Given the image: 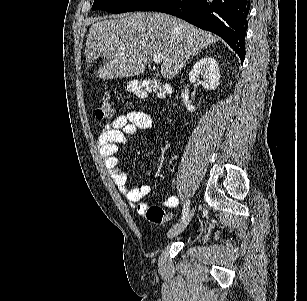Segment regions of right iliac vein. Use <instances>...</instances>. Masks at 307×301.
Wrapping results in <instances>:
<instances>
[{
    "label": "right iliac vein",
    "mask_w": 307,
    "mask_h": 301,
    "mask_svg": "<svg viewBox=\"0 0 307 301\" xmlns=\"http://www.w3.org/2000/svg\"><path fill=\"white\" fill-rule=\"evenodd\" d=\"M193 212H194V210L190 211L187 214L185 220L181 224H177L172 229L169 230V232L167 233L168 239H172V238L178 236L181 232H183V230L186 228L189 221L191 220V218L193 216Z\"/></svg>",
    "instance_id": "right-iliac-vein-1"
}]
</instances>
